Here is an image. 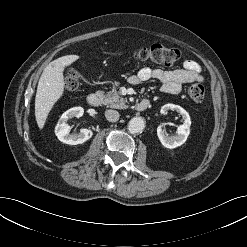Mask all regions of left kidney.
I'll list each match as a JSON object with an SVG mask.
<instances>
[{"label": "left kidney", "mask_w": 247, "mask_h": 247, "mask_svg": "<svg viewBox=\"0 0 247 247\" xmlns=\"http://www.w3.org/2000/svg\"><path fill=\"white\" fill-rule=\"evenodd\" d=\"M169 110L178 112L182 116L184 122L177 128V134L174 136H170L165 129H162L161 125L157 128V135L165 148L174 149L183 145L187 140L190 133L191 119L188 112L179 105L166 104L162 106L161 113L167 114Z\"/></svg>", "instance_id": "1"}]
</instances>
